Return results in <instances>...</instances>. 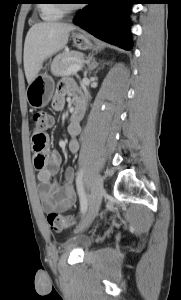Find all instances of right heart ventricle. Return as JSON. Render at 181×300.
<instances>
[{"instance_id":"e07e8e85","label":"right heart ventricle","mask_w":181,"mask_h":300,"mask_svg":"<svg viewBox=\"0 0 181 300\" xmlns=\"http://www.w3.org/2000/svg\"><path fill=\"white\" fill-rule=\"evenodd\" d=\"M39 5V15L46 22H56L63 17L64 12L59 8L56 0H42Z\"/></svg>"}]
</instances>
